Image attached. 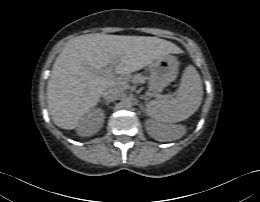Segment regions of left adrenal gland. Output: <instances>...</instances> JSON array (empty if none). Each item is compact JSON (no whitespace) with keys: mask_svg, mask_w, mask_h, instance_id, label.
<instances>
[{"mask_svg":"<svg viewBox=\"0 0 260 202\" xmlns=\"http://www.w3.org/2000/svg\"><path fill=\"white\" fill-rule=\"evenodd\" d=\"M140 108H141V110L144 111L145 113L147 112V109H146L142 104H140Z\"/></svg>","mask_w":260,"mask_h":202,"instance_id":"1","label":"left adrenal gland"}]
</instances>
